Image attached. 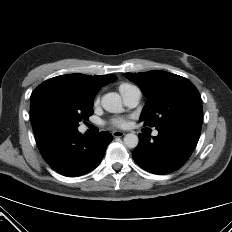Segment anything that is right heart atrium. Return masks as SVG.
<instances>
[{"instance_id":"1","label":"right heart atrium","mask_w":232,"mask_h":232,"mask_svg":"<svg viewBox=\"0 0 232 232\" xmlns=\"http://www.w3.org/2000/svg\"><path fill=\"white\" fill-rule=\"evenodd\" d=\"M97 103H98V98H96L94 101V104H97Z\"/></svg>"}]
</instances>
